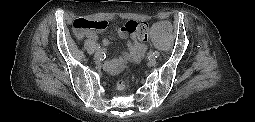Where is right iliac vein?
Instances as JSON below:
<instances>
[{"label": "right iliac vein", "mask_w": 255, "mask_h": 122, "mask_svg": "<svg viewBox=\"0 0 255 122\" xmlns=\"http://www.w3.org/2000/svg\"><path fill=\"white\" fill-rule=\"evenodd\" d=\"M102 59V55L101 54H95L94 55V60L96 63H100Z\"/></svg>", "instance_id": "1"}]
</instances>
